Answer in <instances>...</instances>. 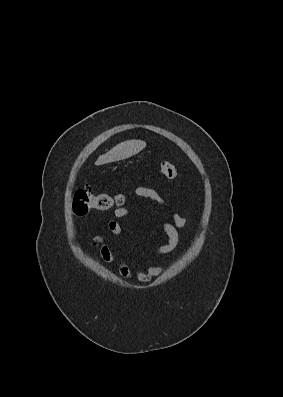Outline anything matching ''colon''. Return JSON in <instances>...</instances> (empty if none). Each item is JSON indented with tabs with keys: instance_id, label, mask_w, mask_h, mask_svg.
Listing matches in <instances>:
<instances>
[{
	"instance_id": "5ec220e1",
	"label": "colon",
	"mask_w": 283,
	"mask_h": 397,
	"mask_svg": "<svg viewBox=\"0 0 283 397\" xmlns=\"http://www.w3.org/2000/svg\"><path fill=\"white\" fill-rule=\"evenodd\" d=\"M164 178L172 179L178 174L177 167L170 162H162L159 166ZM124 197L120 194L99 193L94 194L89 189H78L72 200V211L76 215H85L91 210H109L121 205Z\"/></svg>"
}]
</instances>
